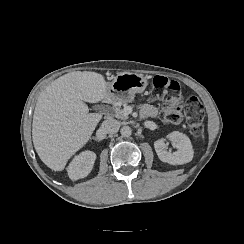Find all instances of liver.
<instances>
[{
    "instance_id": "obj_1",
    "label": "liver",
    "mask_w": 244,
    "mask_h": 244,
    "mask_svg": "<svg viewBox=\"0 0 244 244\" xmlns=\"http://www.w3.org/2000/svg\"><path fill=\"white\" fill-rule=\"evenodd\" d=\"M101 74L74 71L53 81L38 97L32 122V139L44 164L62 171L72 155L90 139L102 116L89 113L85 102L106 99Z\"/></svg>"
}]
</instances>
